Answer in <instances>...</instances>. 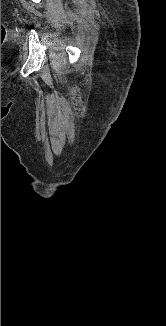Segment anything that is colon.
<instances>
[{
	"instance_id": "obj_1",
	"label": "colon",
	"mask_w": 166,
	"mask_h": 326,
	"mask_svg": "<svg viewBox=\"0 0 166 326\" xmlns=\"http://www.w3.org/2000/svg\"><path fill=\"white\" fill-rule=\"evenodd\" d=\"M5 39H6V28L3 25V23H1V45H3Z\"/></svg>"
}]
</instances>
